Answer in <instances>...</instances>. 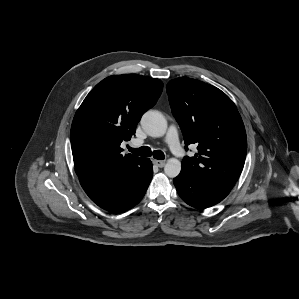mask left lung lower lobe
Instances as JSON below:
<instances>
[{"label":"left lung lower lobe","mask_w":299,"mask_h":299,"mask_svg":"<svg viewBox=\"0 0 299 299\" xmlns=\"http://www.w3.org/2000/svg\"><path fill=\"white\" fill-rule=\"evenodd\" d=\"M173 183L181 199L196 208H207L222 201L230 191L206 181L190 177L184 172Z\"/></svg>","instance_id":"1"}]
</instances>
